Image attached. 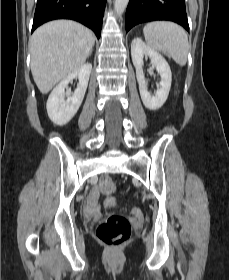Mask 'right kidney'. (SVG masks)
<instances>
[{"mask_svg":"<svg viewBox=\"0 0 229 280\" xmlns=\"http://www.w3.org/2000/svg\"><path fill=\"white\" fill-rule=\"evenodd\" d=\"M91 70V63H85L53 89L47 100L46 108L48 116L54 124L65 125L74 117L83 101ZM75 78L79 79V84L74 93L65 92L68 84ZM65 96L67 100H65Z\"/></svg>","mask_w":229,"mask_h":280,"instance_id":"1","label":"right kidney"}]
</instances>
